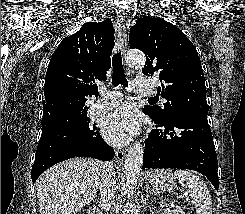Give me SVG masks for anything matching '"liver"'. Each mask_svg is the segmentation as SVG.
<instances>
[{
	"instance_id": "6515ba94",
	"label": "liver",
	"mask_w": 245,
	"mask_h": 214,
	"mask_svg": "<svg viewBox=\"0 0 245 214\" xmlns=\"http://www.w3.org/2000/svg\"><path fill=\"white\" fill-rule=\"evenodd\" d=\"M106 164L75 158L45 171L37 181L40 214H75L88 205L100 187Z\"/></svg>"
}]
</instances>
